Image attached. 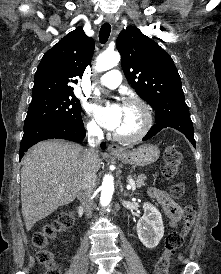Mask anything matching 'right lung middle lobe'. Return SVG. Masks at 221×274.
<instances>
[{"label":"right lung middle lobe","instance_id":"right-lung-middle-lobe-1","mask_svg":"<svg viewBox=\"0 0 221 274\" xmlns=\"http://www.w3.org/2000/svg\"><path fill=\"white\" fill-rule=\"evenodd\" d=\"M65 122L82 125L80 101L74 93L44 96L32 99L24 128L44 122Z\"/></svg>","mask_w":221,"mask_h":274}]
</instances>
